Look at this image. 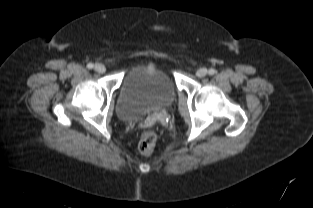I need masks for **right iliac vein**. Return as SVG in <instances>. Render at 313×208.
Returning <instances> with one entry per match:
<instances>
[{
  "mask_svg": "<svg viewBox=\"0 0 313 208\" xmlns=\"http://www.w3.org/2000/svg\"><path fill=\"white\" fill-rule=\"evenodd\" d=\"M94 70H95L96 72H98V73H104V72L106 71V68H105V66H104L103 64L97 63V64H95V66H94Z\"/></svg>",
  "mask_w": 313,
  "mask_h": 208,
  "instance_id": "1",
  "label": "right iliac vein"
}]
</instances>
